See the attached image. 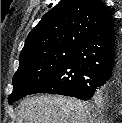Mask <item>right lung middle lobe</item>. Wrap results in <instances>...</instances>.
Here are the masks:
<instances>
[{
  "instance_id": "obj_1",
  "label": "right lung middle lobe",
  "mask_w": 122,
  "mask_h": 123,
  "mask_svg": "<svg viewBox=\"0 0 122 123\" xmlns=\"http://www.w3.org/2000/svg\"><path fill=\"white\" fill-rule=\"evenodd\" d=\"M76 49L45 52L19 60V68L13 76V92L8 101L11 105L56 72L73 56Z\"/></svg>"
}]
</instances>
